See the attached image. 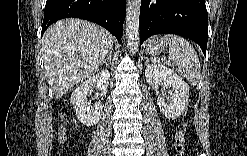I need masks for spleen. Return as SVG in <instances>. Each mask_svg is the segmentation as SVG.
<instances>
[{
    "label": "spleen",
    "mask_w": 247,
    "mask_h": 156,
    "mask_svg": "<svg viewBox=\"0 0 247 156\" xmlns=\"http://www.w3.org/2000/svg\"><path fill=\"white\" fill-rule=\"evenodd\" d=\"M164 39L169 44V61L175 70L195 86L200 80L201 65L197 52L192 45L178 35H166Z\"/></svg>",
    "instance_id": "3e777b00"
}]
</instances>
